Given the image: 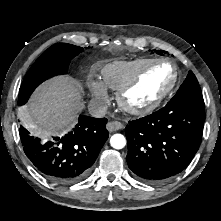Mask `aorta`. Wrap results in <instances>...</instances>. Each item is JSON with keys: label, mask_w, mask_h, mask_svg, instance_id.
Listing matches in <instances>:
<instances>
[{"label": "aorta", "mask_w": 221, "mask_h": 221, "mask_svg": "<svg viewBox=\"0 0 221 221\" xmlns=\"http://www.w3.org/2000/svg\"><path fill=\"white\" fill-rule=\"evenodd\" d=\"M110 145L114 149H122L126 145V139L122 134H114L110 138Z\"/></svg>", "instance_id": "obj_1"}]
</instances>
